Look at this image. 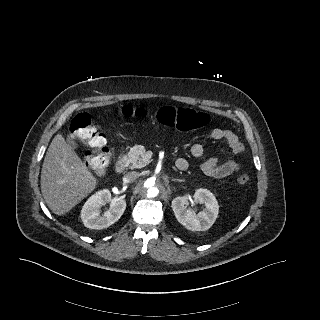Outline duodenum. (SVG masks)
Instances as JSON below:
<instances>
[{"mask_svg":"<svg viewBox=\"0 0 320 320\" xmlns=\"http://www.w3.org/2000/svg\"><path fill=\"white\" fill-rule=\"evenodd\" d=\"M175 166L178 170H186L187 169V162L183 159H178L175 163ZM126 168V162L123 157H119L115 164V170L117 173L124 172Z\"/></svg>","mask_w":320,"mask_h":320,"instance_id":"obj_1","label":"duodenum"}]
</instances>
